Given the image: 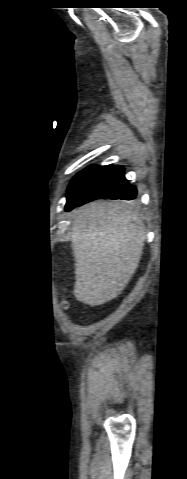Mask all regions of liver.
Segmentation results:
<instances>
[{
	"label": "liver",
	"instance_id": "6515ba94",
	"mask_svg": "<svg viewBox=\"0 0 187 479\" xmlns=\"http://www.w3.org/2000/svg\"><path fill=\"white\" fill-rule=\"evenodd\" d=\"M145 225L121 201H95L72 221L74 296L90 306L116 298L135 273L143 253Z\"/></svg>",
	"mask_w": 187,
	"mask_h": 479
}]
</instances>
